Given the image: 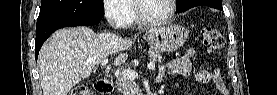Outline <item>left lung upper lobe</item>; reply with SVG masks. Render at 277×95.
Returning a JSON list of instances; mask_svg holds the SVG:
<instances>
[{
  "label": "left lung upper lobe",
  "instance_id": "left-lung-upper-lobe-1",
  "mask_svg": "<svg viewBox=\"0 0 277 95\" xmlns=\"http://www.w3.org/2000/svg\"><path fill=\"white\" fill-rule=\"evenodd\" d=\"M205 5L222 10L221 0H177L176 13H182L195 6Z\"/></svg>",
  "mask_w": 277,
  "mask_h": 95
}]
</instances>
